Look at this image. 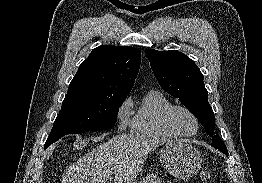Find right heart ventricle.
<instances>
[{
    "mask_svg": "<svg viewBox=\"0 0 262 183\" xmlns=\"http://www.w3.org/2000/svg\"><path fill=\"white\" fill-rule=\"evenodd\" d=\"M172 102L160 91L151 90L137 107L131 121L134 134L155 138H176L164 125V114Z\"/></svg>",
    "mask_w": 262,
    "mask_h": 183,
    "instance_id": "obj_1",
    "label": "right heart ventricle"
}]
</instances>
